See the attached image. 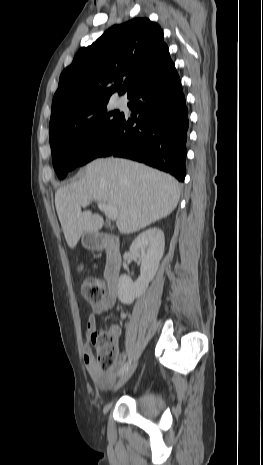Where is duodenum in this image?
Masks as SVG:
<instances>
[{"mask_svg":"<svg viewBox=\"0 0 263 465\" xmlns=\"http://www.w3.org/2000/svg\"><path fill=\"white\" fill-rule=\"evenodd\" d=\"M87 246L93 250H104L106 252L105 279L109 291L116 294L122 266V254L118 239L110 234L91 235L87 240Z\"/></svg>","mask_w":263,"mask_h":465,"instance_id":"obj_1","label":"duodenum"}]
</instances>
